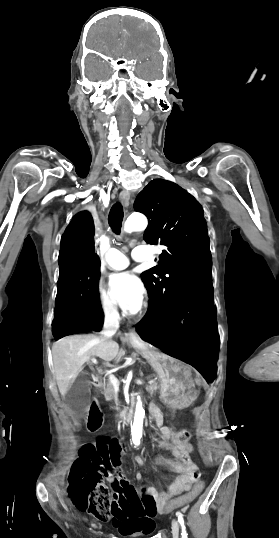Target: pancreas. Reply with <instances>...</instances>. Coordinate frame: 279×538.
Listing matches in <instances>:
<instances>
[{"label":"pancreas","mask_w":279,"mask_h":538,"mask_svg":"<svg viewBox=\"0 0 279 538\" xmlns=\"http://www.w3.org/2000/svg\"><path fill=\"white\" fill-rule=\"evenodd\" d=\"M143 387H146V391H149L150 393L158 392V387L154 379H148L146 384H143ZM102 390V394H104L106 400H115L114 386L111 380H106V384L103 386Z\"/></svg>","instance_id":"1"}]
</instances>
